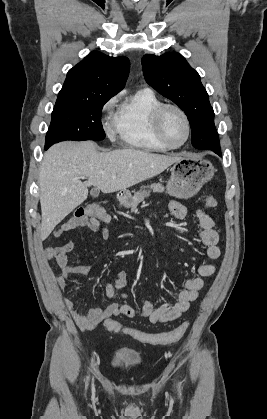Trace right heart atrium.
<instances>
[{
	"instance_id": "1",
	"label": "right heart atrium",
	"mask_w": 267,
	"mask_h": 419,
	"mask_svg": "<svg viewBox=\"0 0 267 419\" xmlns=\"http://www.w3.org/2000/svg\"><path fill=\"white\" fill-rule=\"evenodd\" d=\"M116 102H117V97L111 98L109 101H107L105 103L104 108H103L104 111L110 110L115 105ZM106 132L110 136H112V134H113V131H112V128L111 127H107L106 128Z\"/></svg>"
}]
</instances>
